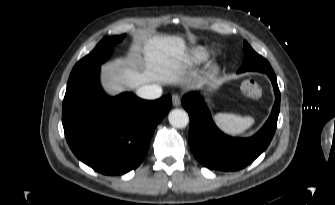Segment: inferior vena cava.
Returning <instances> with one entry per match:
<instances>
[{
    "label": "inferior vena cava",
    "instance_id": "602c4592",
    "mask_svg": "<svg viewBox=\"0 0 335 205\" xmlns=\"http://www.w3.org/2000/svg\"><path fill=\"white\" fill-rule=\"evenodd\" d=\"M136 93L141 98L153 100L161 96L162 88L157 84L147 85L138 88Z\"/></svg>",
    "mask_w": 335,
    "mask_h": 205
}]
</instances>
